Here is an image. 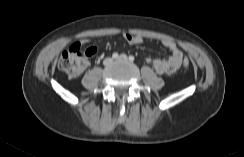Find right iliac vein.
<instances>
[{
    "label": "right iliac vein",
    "mask_w": 244,
    "mask_h": 157,
    "mask_svg": "<svg viewBox=\"0 0 244 157\" xmlns=\"http://www.w3.org/2000/svg\"><path fill=\"white\" fill-rule=\"evenodd\" d=\"M112 59L111 58H106L104 61H103V63H104V65H110L111 63H112Z\"/></svg>",
    "instance_id": "obj_1"
}]
</instances>
